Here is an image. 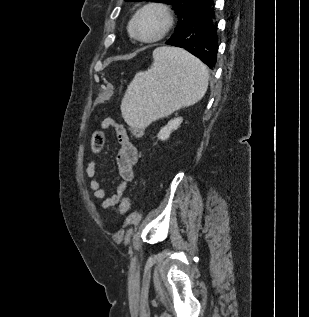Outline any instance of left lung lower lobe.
Masks as SVG:
<instances>
[{
  "instance_id": "0a47b994",
  "label": "left lung lower lobe",
  "mask_w": 309,
  "mask_h": 317,
  "mask_svg": "<svg viewBox=\"0 0 309 317\" xmlns=\"http://www.w3.org/2000/svg\"><path fill=\"white\" fill-rule=\"evenodd\" d=\"M166 44L184 48L210 68L214 67L219 45L214 1L208 0L196 9L188 19L186 26L167 40Z\"/></svg>"
}]
</instances>
